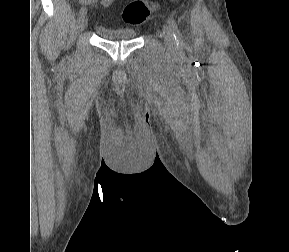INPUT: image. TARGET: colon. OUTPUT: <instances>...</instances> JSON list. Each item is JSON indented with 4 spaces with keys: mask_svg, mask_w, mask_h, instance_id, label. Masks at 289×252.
<instances>
[{
    "mask_svg": "<svg viewBox=\"0 0 289 252\" xmlns=\"http://www.w3.org/2000/svg\"><path fill=\"white\" fill-rule=\"evenodd\" d=\"M157 10L156 3L151 0H132L122 13L124 22L131 25H140L146 22Z\"/></svg>",
    "mask_w": 289,
    "mask_h": 252,
    "instance_id": "1",
    "label": "colon"
}]
</instances>
